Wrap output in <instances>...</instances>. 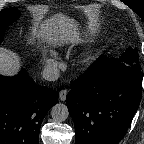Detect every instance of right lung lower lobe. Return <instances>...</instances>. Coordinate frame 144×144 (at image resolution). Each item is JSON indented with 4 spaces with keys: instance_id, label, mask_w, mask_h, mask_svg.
Wrapping results in <instances>:
<instances>
[{
    "instance_id": "98d812e1",
    "label": "right lung lower lobe",
    "mask_w": 144,
    "mask_h": 144,
    "mask_svg": "<svg viewBox=\"0 0 144 144\" xmlns=\"http://www.w3.org/2000/svg\"><path fill=\"white\" fill-rule=\"evenodd\" d=\"M58 95L37 85L25 70L11 78L0 76V144H38L42 120Z\"/></svg>"
}]
</instances>
